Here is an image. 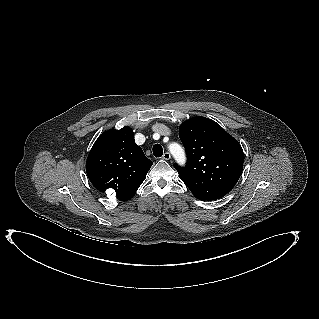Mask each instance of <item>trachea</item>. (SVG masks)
<instances>
[{
	"instance_id": "obj_1",
	"label": "trachea",
	"mask_w": 319,
	"mask_h": 319,
	"mask_svg": "<svg viewBox=\"0 0 319 319\" xmlns=\"http://www.w3.org/2000/svg\"><path fill=\"white\" fill-rule=\"evenodd\" d=\"M152 150L155 157H161L163 155V148L160 144H155Z\"/></svg>"
}]
</instances>
